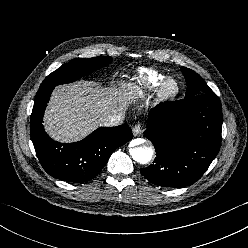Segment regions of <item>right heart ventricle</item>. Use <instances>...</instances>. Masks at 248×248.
<instances>
[{
	"label": "right heart ventricle",
	"mask_w": 248,
	"mask_h": 248,
	"mask_svg": "<svg viewBox=\"0 0 248 248\" xmlns=\"http://www.w3.org/2000/svg\"><path fill=\"white\" fill-rule=\"evenodd\" d=\"M165 78L163 73L151 69L142 70L140 74L141 81L149 88L158 87Z\"/></svg>",
	"instance_id": "right-heart-ventricle-1"
}]
</instances>
